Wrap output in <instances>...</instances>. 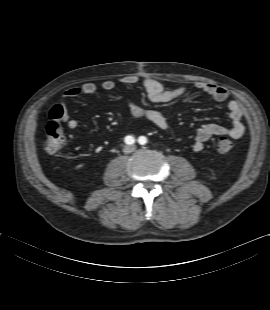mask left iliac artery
<instances>
[{"label": "left iliac artery", "mask_w": 270, "mask_h": 310, "mask_svg": "<svg viewBox=\"0 0 270 310\" xmlns=\"http://www.w3.org/2000/svg\"><path fill=\"white\" fill-rule=\"evenodd\" d=\"M138 142H139L141 145H145V144L147 143V138L144 137V136H141V137H139Z\"/></svg>", "instance_id": "left-iliac-artery-1"}]
</instances>
